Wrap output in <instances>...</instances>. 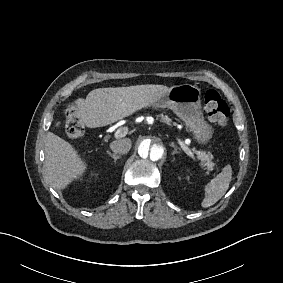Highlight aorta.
Returning <instances> with one entry per match:
<instances>
[{
  "instance_id": "1",
  "label": "aorta",
  "mask_w": 283,
  "mask_h": 283,
  "mask_svg": "<svg viewBox=\"0 0 283 283\" xmlns=\"http://www.w3.org/2000/svg\"><path fill=\"white\" fill-rule=\"evenodd\" d=\"M137 150L143 163L154 165L165 158L166 142L159 135L148 134L139 139Z\"/></svg>"
}]
</instances>
